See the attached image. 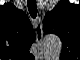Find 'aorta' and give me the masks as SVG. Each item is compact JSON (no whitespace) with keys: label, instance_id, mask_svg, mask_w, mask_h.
Here are the masks:
<instances>
[{"label":"aorta","instance_id":"obj_1","mask_svg":"<svg viewBox=\"0 0 80 60\" xmlns=\"http://www.w3.org/2000/svg\"><path fill=\"white\" fill-rule=\"evenodd\" d=\"M45 49L50 54L59 55L62 49V42L56 35H50L44 39Z\"/></svg>","mask_w":80,"mask_h":60}]
</instances>
